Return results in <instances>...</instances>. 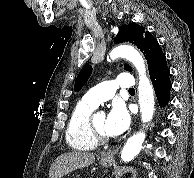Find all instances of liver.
Masks as SVG:
<instances>
[{
    "mask_svg": "<svg viewBox=\"0 0 194 178\" xmlns=\"http://www.w3.org/2000/svg\"><path fill=\"white\" fill-rule=\"evenodd\" d=\"M95 161L93 153L72 151L61 154L52 163L49 170V178H61L79 168L87 167Z\"/></svg>",
    "mask_w": 194,
    "mask_h": 178,
    "instance_id": "obj_1",
    "label": "liver"
}]
</instances>
